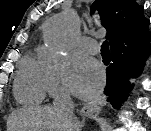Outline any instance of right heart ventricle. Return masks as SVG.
Returning <instances> with one entry per match:
<instances>
[{"instance_id":"obj_1","label":"right heart ventricle","mask_w":151,"mask_h":131,"mask_svg":"<svg viewBox=\"0 0 151 131\" xmlns=\"http://www.w3.org/2000/svg\"><path fill=\"white\" fill-rule=\"evenodd\" d=\"M47 93L43 62L33 55H26L19 64L14 83V96L24 105L41 103Z\"/></svg>"}]
</instances>
